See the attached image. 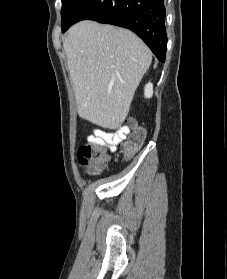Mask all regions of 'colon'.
Here are the masks:
<instances>
[{
    "label": "colon",
    "instance_id": "1",
    "mask_svg": "<svg viewBox=\"0 0 227 279\" xmlns=\"http://www.w3.org/2000/svg\"><path fill=\"white\" fill-rule=\"evenodd\" d=\"M130 123L135 126L134 120H131ZM145 137V131L142 128L135 127L130 137L123 143L122 157L128 159L135 154L143 145ZM77 161L90 173H96L108 161V156L104 153L103 147L98 145L97 140H91L79 148Z\"/></svg>",
    "mask_w": 227,
    "mask_h": 279
}]
</instances>
